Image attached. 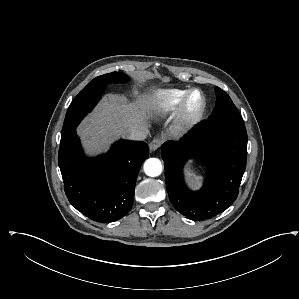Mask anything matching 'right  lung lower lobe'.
<instances>
[{
    "label": "right lung lower lobe",
    "instance_id": "1",
    "mask_svg": "<svg viewBox=\"0 0 299 299\" xmlns=\"http://www.w3.org/2000/svg\"><path fill=\"white\" fill-rule=\"evenodd\" d=\"M148 155L145 142L120 140L106 154L88 159L74 130L61 140L58 154L68 200L94 221L122 218L132 207L137 176Z\"/></svg>",
    "mask_w": 299,
    "mask_h": 299
}]
</instances>
